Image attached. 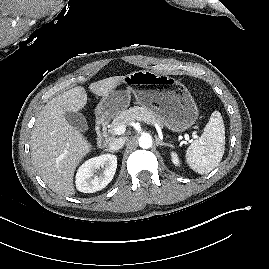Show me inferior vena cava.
Listing matches in <instances>:
<instances>
[{
  "mask_svg": "<svg viewBox=\"0 0 269 269\" xmlns=\"http://www.w3.org/2000/svg\"><path fill=\"white\" fill-rule=\"evenodd\" d=\"M125 142H126V137L115 138L109 143V149L113 151H117L124 146Z\"/></svg>",
  "mask_w": 269,
  "mask_h": 269,
  "instance_id": "1",
  "label": "inferior vena cava"
}]
</instances>
